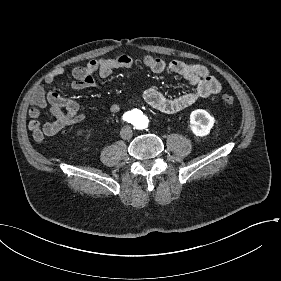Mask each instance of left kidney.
Here are the masks:
<instances>
[{
	"mask_svg": "<svg viewBox=\"0 0 281 281\" xmlns=\"http://www.w3.org/2000/svg\"><path fill=\"white\" fill-rule=\"evenodd\" d=\"M190 130L196 137H206L215 127V118L206 110L197 109L190 113Z\"/></svg>",
	"mask_w": 281,
	"mask_h": 281,
	"instance_id": "5707ae66",
	"label": "left kidney"
}]
</instances>
